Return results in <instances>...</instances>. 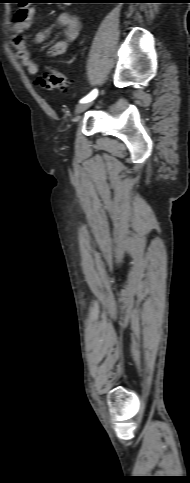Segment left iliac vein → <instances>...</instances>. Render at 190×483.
<instances>
[{
  "label": "left iliac vein",
  "mask_w": 190,
  "mask_h": 483,
  "mask_svg": "<svg viewBox=\"0 0 190 483\" xmlns=\"http://www.w3.org/2000/svg\"><path fill=\"white\" fill-rule=\"evenodd\" d=\"M92 104H93V100L77 106L76 109H75V114L76 115L81 114L83 111H85L87 108H89Z\"/></svg>",
  "instance_id": "left-iliac-vein-1"
}]
</instances>
